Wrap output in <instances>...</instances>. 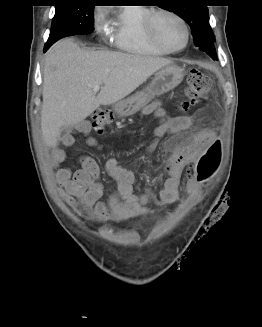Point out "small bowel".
<instances>
[{
	"label": "small bowel",
	"mask_w": 262,
	"mask_h": 327,
	"mask_svg": "<svg viewBox=\"0 0 262 327\" xmlns=\"http://www.w3.org/2000/svg\"><path fill=\"white\" fill-rule=\"evenodd\" d=\"M142 114H151L160 122L146 147L149 152L155 150L159 139L163 136L181 133L194 127L192 117L188 114L169 117L160 101L151 103L142 110ZM90 131L91 127L87 122H81L76 126V132L86 137L88 145L100 147V144L90 136ZM73 141V134H67L62 144L68 146ZM209 143H215L214 133L209 129H200L177 147L165 164L164 185L157 193L135 194L133 187L137 182L136 174L122 167L115 158L108 159L106 169L116 183V191L107 201L102 200L103 185L96 161L89 156H84L81 159V168L73 172L67 167H59L65 159V152L62 148H58L52 158V164L57 168L55 179L60 186L58 194L78 214L88 219L127 220L145 215L150 203L169 205L178 200L183 170L192 172L193 165H211L197 164L196 161V154L204 153V148H209ZM195 179V173L185 174V194L189 199H199L200 196L199 192H196ZM78 203L80 208L77 207Z\"/></svg>",
	"instance_id": "c3829d8e"
}]
</instances>
